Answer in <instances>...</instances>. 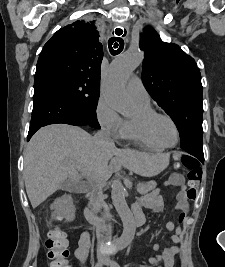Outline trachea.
<instances>
[{"mask_svg": "<svg viewBox=\"0 0 225 267\" xmlns=\"http://www.w3.org/2000/svg\"><path fill=\"white\" fill-rule=\"evenodd\" d=\"M117 36H120L123 34V30L121 28H117L115 30ZM126 32V31H125ZM108 47H109V51L112 55H117L119 54L123 48H124V41L122 38L120 37H111L108 40Z\"/></svg>", "mask_w": 225, "mask_h": 267, "instance_id": "3493384b", "label": "trachea"}]
</instances>
